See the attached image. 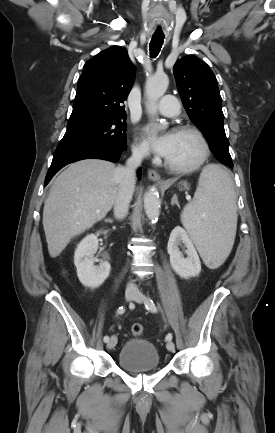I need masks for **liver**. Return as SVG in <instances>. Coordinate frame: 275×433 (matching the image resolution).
I'll use <instances>...</instances> for the list:
<instances>
[{
  "mask_svg": "<svg viewBox=\"0 0 275 433\" xmlns=\"http://www.w3.org/2000/svg\"><path fill=\"white\" fill-rule=\"evenodd\" d=\"M117 168L109 161L86 159L71 164L55 179L43 209L52 258L111 210L120 189Z\"/></svg>",
  "mask_w": 275,
  "mask_h": 433,
  "instance_id": "obj_1",
  "label": "liver"
}]
</instances>
